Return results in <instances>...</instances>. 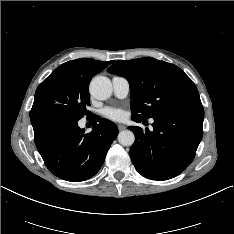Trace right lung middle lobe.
Here are the masks:
<instances>
[{"label":"right lung middle lobe","mask_w":234,"mask_h":234,"mask_svg":"<svg viewBox=\"0 0 234 234\" xmlns=\"http://www.w3.org/2000/svg\"><path fill=\"white\" fill-rule=\"evenodd\" d=\"M88 85L68 76L45 79L37 88L30 116L59 113L81 119L90 106Z\"/></svg>","instance_id":"dd1d6c3e"}]
</instances>
